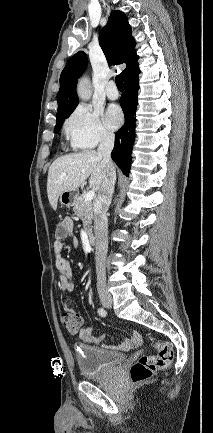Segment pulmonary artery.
I'll use <instances>...</instances> for the list:
<instances>
[{"mask_svg": "<svg viewBox=\"0 0 213 433\" xmlns=\"http://www.w3.org/2000/svg\"><path fill=\"white\" fill-rule=\"evenodd\" d=\"M106 96L109 99H117L119 96V92L117 90V87L115 85V83L113 81H110L107 86H106V90H105Z\"/></svg>", "mask_w": 213, "mask_h": 433, "instance_id": "1", "label": "pulmonary artery"}]
</instances>
